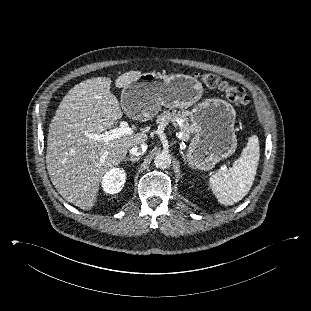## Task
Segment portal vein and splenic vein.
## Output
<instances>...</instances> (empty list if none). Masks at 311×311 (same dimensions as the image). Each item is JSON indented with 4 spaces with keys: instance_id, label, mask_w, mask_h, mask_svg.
<instances>
[{
    "instance_id": "portal-vein-and-splenic-vein-1",
    "label": "portal vein and splenic vein",
    "mask_w": 311,
    "mask_h": 311,
    "mask_svg": "<svg viewBox=\"0 0 311 311\" xmlns=\"http://www.w3.org/2000/svg\"><path fill=\"white\" fill-rule=\"evenodd\" d=\"M132 133V129L129 127L128 123L126 121H122L119 125V127H116L114 129H111L109 131H106L102 134H95L91 138L94 140H101L104 142H109L113 139L130 135ZM222 170H225L226 167H221Z\"/></svg>"
}]
</instances>
